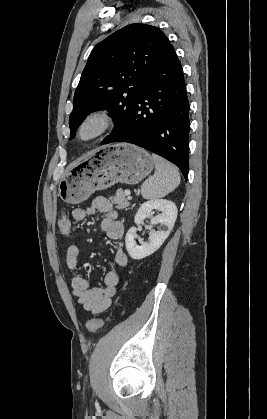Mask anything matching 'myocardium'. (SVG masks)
Returning <instances> with one entry per match:
<instances>
[{
	"label": "myocardium",
	"instance_id": "1",
	"mask_svg": "<svg viewBox=\"0 0 267 419\" xmlns=\"http://www.w3.org/2000/svg\"><path fill=\"white\" fill-rule=\"evenodd\" d=\"M114 121V116L109 109L92 110L79 123L77 137L81 142H92L106 134L113 127Z\"/></svg>",
	"mask_w": 267,
	"mask_h": 419
}]
</instances>
